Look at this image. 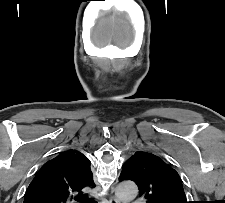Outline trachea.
Listing matches in <instances>:
<instances>
[{
    "label": "trachea",
    "mask_w": 225,
    "mask_h": 203,
    "mask_svg": "<svg viewBox=\"0 0 225 203\" xmlns=\"http://www.w3.org/2000/svg\"><path fill=\"white\" fill-rule=\"evenodd\" d=\"M76 200L80 203H92V201L86 195L79 196L76 198Z\"/></svg>",
    "instance_id": "1"
}]
</instances>
